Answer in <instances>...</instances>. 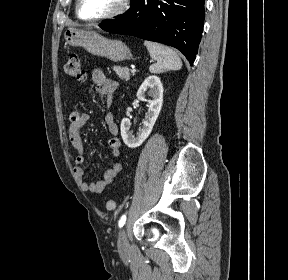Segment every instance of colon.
Returning a JSON list of instances; mask_svg holds the SVG:
<instances>
[{
    "mask_svg": "<svg viewBox=\"0 0 288 280\" xmlns=\"http://www.w3.org/2000/svg\"><path fill=\"white\" fill-rule=\"evenodd\" d=\"M65 74L76 81H84L85 72L82 68L78 55L73 54L69 57L67 63L65 64ZM105 205L107 210H114L116 207V202L113 199H108Z\"/></svg>",
    "mask_w": 288,
    "mask_h": 280,
    "instance_id": "1",
    "label": "colon"
}]
</instances>
